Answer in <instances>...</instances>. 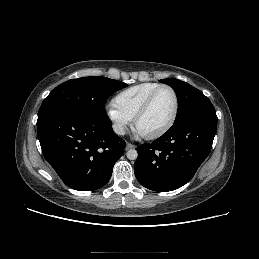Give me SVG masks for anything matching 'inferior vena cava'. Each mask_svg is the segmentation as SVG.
<instances>
[{"mask_svg": "<svg viewBox=\"0 0 259 259\" xmlns=\"http://www.w3.org/2000/svg\"><path fill=\"white\" fill-rule=\"evenodd\" d=\"M113 130L118 135H124L125 134V129L121 124H114Z\"/></svg>", "mask_w": 259, "mask_h": 259, "instance_id": "602c4592", "label": "inferior vena cava"}]
</instances>
